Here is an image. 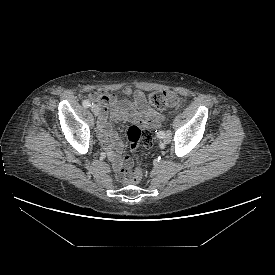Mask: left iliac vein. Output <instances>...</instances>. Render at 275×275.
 I'll use <instances>...</instances> for the list:
<instances>
[{"label": "left iliac vein", "mask_w": 275, "mask_h": 275, "mask_svg": "<svg viewBox=\"0 0 275 275\" xmlns=\"http://www.w3.org/2000/svg\"><path fill=\"white\" fill-rule=\"evenodd\" d=\"M170 139H171V133L169 131H167L165 133V135L163 136L162 140L164 143H168L170 141Z\"/></svg>", "instance_id": "4c4485c4"}]
</instances>
